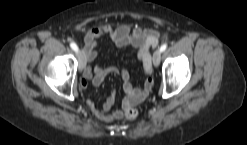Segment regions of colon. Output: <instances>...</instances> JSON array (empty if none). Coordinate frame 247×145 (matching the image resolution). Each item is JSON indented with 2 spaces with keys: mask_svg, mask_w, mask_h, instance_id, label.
<instances>
[{
  "mask_svg": "<svg viewBox=\"0 0 247 145\" xmlns=\"http://www.w3.org/2000/svg\"><path fill=\"white\" fill-rule=\"evenodd\" d=\"M138 117V111L133 107L124 110V118L127 120H135Z\"/></svg>",
  "mask_w": 247,
  "mask_h": 145,
  "instance_id": "obj_1",
  "label": "colon"
}]
</instances>
